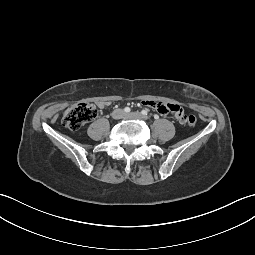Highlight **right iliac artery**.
<instances>
[{
    "label": "right iliac artery",
    "instance_id": "obj_1",
    "mask_svg": "<svg viewBox=\"0 0 255 255\" xmlns=\"http://www.w3.org/2000/svg\"><path fill=\"white\" fill-rule=\"evenodd\" d=\"M130 111H131V109L129 107L124 108V112L129 113Z\"/></svg>",
    "mask_w": 255,
    "mask_h": 255
}]
</instances>
